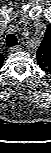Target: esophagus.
<instances>
[{
	"label": "esophagus",
	"mask_w": 51,
	"mask_h": 153,
	"mask_svg": "<svg viewBox=\"0 0 51 153\" xmlns=\"http://www.w3.org/2000/svg\"><path fill=\"white\" fill-rule=\"evenodd\" d=\"M22 48L20 45H17L11 49L12 52L20 51Z\"/></svg>",
	"instance_id": "1"
}]
</instances>
